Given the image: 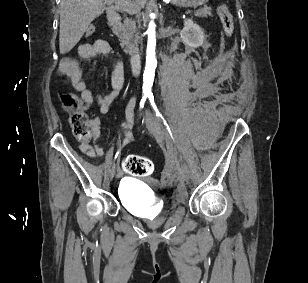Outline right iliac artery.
Wrapping results in <instances>:
<instances>
[{
  "mask_svg": "<svg viewBox=\"0 0 308 283\" xmlns=\"http://www.w3.org/2000/svg\"><path fill=\"white\" fill-rule=\"evenodd\" d=\"M146 97H147V95L145 94V95L143 96L141 102H140L141 108H143V105H144V102H145V100H146ZM118 154H119V151H118V152L116 153V155H115V160L117 159Z\"/></svg>",
  "mask_w": 308,
  "mask_h": 283,
  "instance_id": "right-iliac-artery-1",
  "label": "right iliac artery"
}]
</instances>
